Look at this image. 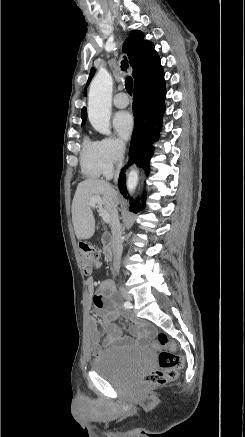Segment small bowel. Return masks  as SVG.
<instances>
[{"label": "small bowel", "mask_w": 245, "mask_h": 437, "mask_svg": "<svg viewBox=\"0 0 245 437\" xmlns=\"http://www.w3.org/2000/svg\"><path fill=\"white\" fill-rule=\"evenodd\" d=\"M86 284L88 288L93 289L95 281L92 277H88ZM113 293V283L110 281H104L99 285L98 292L93 298L94 315L89 321V333L91 350L95 355H99L103 350H109L121 345L132 343V339L125 337L121 328L115 323L120 316V313L116 307ZM96 318H99L102 321L106 333V338L103 342L100 340ZM131 332L140 338L147 337L151 334L149 328L144 324H138L131 328Z\"/></svg>", "instance_id": "c3829d8e"}]
</instances>
